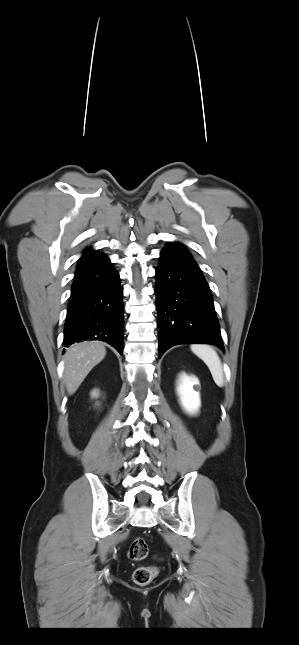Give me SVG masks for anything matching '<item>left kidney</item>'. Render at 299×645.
<instances>
[{"mask_svg":"<svg viewBox=\"0 0 299 645\" xmlns=\"http://www.w3.org/2000/svg\"><path fill=\"white\" fill-rule=\"evenodd\" d=\"M195 385H199L198 379L183 373L176 389L183 409L191 415L196 414L201 405L199 392L193 388Z\"/></svg>","mask_w":299,"mask_h":645,"instance_id":"5707ae66","label":"left kidney"}]
</instances>
